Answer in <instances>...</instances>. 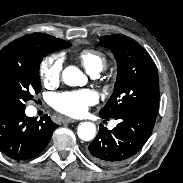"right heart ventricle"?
<instances>
[{
    "instance_id": "e07e8e85",
    "label": "right heart ventricle",
    "mask_w": 183,
    "mask_h": 183,
    "mask_svg": "<svg viewBox=\"0 0 183 183\" xmlns=\"http://www.w3.org/2000/svg\"><path fill=\"white\" fill-rule=\"evenodd\" d=\"M78 58L85 70L90 74L101 72L106 66L105 56L96 50H83Z\"/></svg>"
}]
</instances>
